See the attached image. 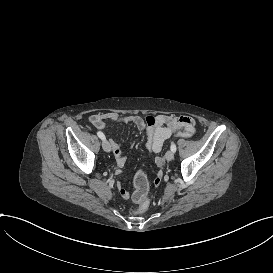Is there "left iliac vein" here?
Listing matches in <instances>:
<instances>
[{
    "label": "left iliac vein",
    "mask_w": 273,
    "mask_h": 273,
    "mask_svg": "<svg viewBox=\"0 0 273 273\" xmlns=\"http://www.w3.org/2000/svg\"><path fill=\"white\" fill-rule=\"evenodd\" d=\"M165 158L169 161L173 160L174 158V152L173 151H167L166 154H165Z\"/></svg>",
    "instance_id": "1"
}]
</instances>
